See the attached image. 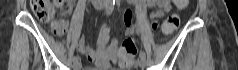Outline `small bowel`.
<instances>
[{"mask_svg":"<svg viewBox=\"0 0 238 70\" xmlns=\"http://www.w3.org/2000/svg\"><path fill=\"white\" fill-rule=\"evenodd\" d=\"M175 3V0H174ZM148 6H158L159 9L152 12L151 19L163 17L171 8V2L168 0H147ZM176 4V3H175ZM186 6V4H185ZM132 11L127 9L124 11V19L127 26L126 34L131 35L134 32V26L132 25ZM53 30L58 36H63L66 33L68 23L65 19H60L53 24ZM110 26L103 24L100 27L97 50H93L89 47L86 38H81L78 42V50L83 54L93 66L87 70H108L112 63H115L118 59H115V54H118L119 44L116 40L109 41L110 38Z\"/></svg>","mask_w":238,"mask_h":70,"instance_id":"small-bowel-1","label":"small bowel"}]
</instances>
